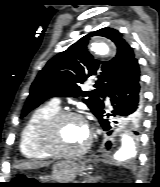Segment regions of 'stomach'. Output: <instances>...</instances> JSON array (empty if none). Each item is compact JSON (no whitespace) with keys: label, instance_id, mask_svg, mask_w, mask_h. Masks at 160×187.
<instances>
[{"label":"stomach","instance_id":"1","mask_svg":"<svg viewBox=\"0 0 160 187\" xmlns=\"http://www.w3.org/2000/svg\"><path fill=\"white\" fill-rule=\"evenodd\" d=\"M81 171V166L71 160H63L54 164L49 180L53 182L40 183H71Z\"/></svg>","mask_w":160,"mask_h":187}]
</instances>
